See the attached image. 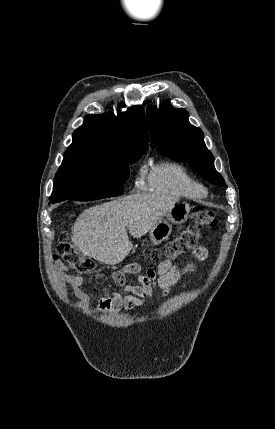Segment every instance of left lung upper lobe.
Listing matches in <instances>:
<instances>
[{
	"label": "left lung upper lobe",
	"instance_id": "1",
	"mask_svg": "<svg viewBox=\"0 0 275 429\" xmlns=\"http://www.w3.org/2000/svg\"><path fill=\"white\" fill-rule=\"evenodd\" d=\"M188 112L176 109L165 102L160 109L147 110L151 140L163 155L177 161H185L210 183L224 186L223 177L214 167V157L204 143L200 128L188 121Z\"/></svg>",
	"mask_w": 275,
	"mask_h": 429
}]
</instances>
